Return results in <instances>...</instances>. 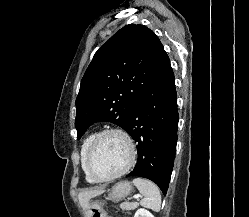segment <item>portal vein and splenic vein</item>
<instances>
[{
  "mask_svg": "<svg viewBox=\"0 0 249 217\" xmlns=\"http://www.w3.org/2000/svg\"><path fill=\"white\" fill-rule=\"evenodd\" d=\"M141 197V195H135L133 198L134 199H139Z\"/></svg>",
  "mask_w": 249,
  "mask_h": 217,
  "instance_id": "obj_1",
  "label": "portal vein and splenic vein"
}]
</instances>
